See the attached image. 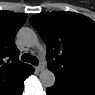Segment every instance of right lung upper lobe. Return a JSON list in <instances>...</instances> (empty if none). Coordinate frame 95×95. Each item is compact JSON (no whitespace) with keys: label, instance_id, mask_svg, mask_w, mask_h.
Masks as SVG:
<instances>
[{"label":"right lung upper lobe","instance_id":"obj_1","mask_svg":"<svg viewBox=\"0 0 95 95\" xmlns=\"http://www.w3.org/2000/svg\"><path fill=\"white\" fill-rule=\"evenodd\" d=\"M27 15L0 11V95H14L34 68L19 61L14 38Z\"/></svg>","mask_w":95,"mask_h":95}]
</instances>
